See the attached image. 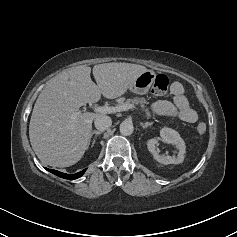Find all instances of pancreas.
<instances>
[{"label": "pancreas", "instance_id": "obj_1", "mask_svg": "<svg viewBox=\"0 0 237 237\" xmlns=\"http://www.w3.org/2000/svg\"><path fill=\"white\" fill-rule=\"evenodd\" d=\"M125 103L133 104V105H140L142 108L145 107V104H148V102L144 98H132V99H127ZM147 117H151L150 111L146 108L145 109Z\"/></svg>", "mask_w": 237, "mask_h": 237}]
</instances>
